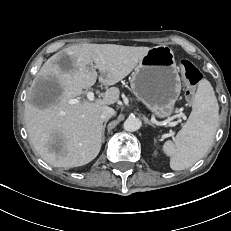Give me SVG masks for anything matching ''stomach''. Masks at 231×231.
<instances>
[{"mask_svg":"<svg viewBox=\"0 0 231 231\" xmlns=\"http://www.w3.org/2000/svg\"><path fill=\"white\" fill-rule=\"evenodd\" d=\"M132 93L156 117L169 118L181 92V79L173 51L167 46L151 48L130 80Z\"/></svg>","mask_w":231,"mask_h":231,"instance_id":"1","label":"stomach"}]
</instances>
